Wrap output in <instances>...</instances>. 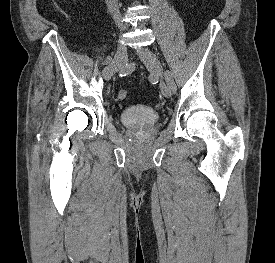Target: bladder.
Instances as JSON below:
<instances>
[{
    "label": "bladder",
    "instance_id": "1",
    "mask_svg": "<svg viewBox=\"0 0 275 263\" xmlns=\"http://www.w3.org/2000/svg\"><path fill=\"white\" fill-rule=\"evenodd\" d=\"M119 119L125 125L145 128L154 125L159 119V114L148 106L135 105L123 109Z\"/></svg>",
    "mask_w": 275,
    "mask_h": 263
}]
</instances>
